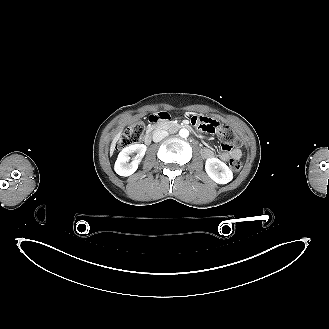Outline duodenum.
<instances>
[{
	"instance_id": "duodenum-1",
	"label": "duodenum",
	"mask_w": 329,
	"mask_h": 329,
	"mask_svg": "<svg viewBox=\"0 0 329 329\" xmlns=\"http://www.w3.org/2000/svg\"><path fill=\"white\" fill-rule=\"evenodd\" d=\"M166 120H167V118L165 116H163L161 113L151 116L152 127L146 132V134L144 136L145 144L149 145L151 143L154 130L162 127L165 124ZM178 126L180 128L188 127L187 125H184V124H181Z\"/></svg>"
}]
</instances>
